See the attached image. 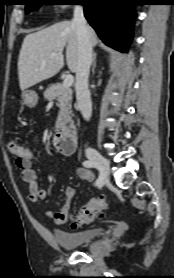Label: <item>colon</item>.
<instances>
[{"mask_svg": "<svg viewBox=\"0 0 174 278\" xmlns=\"http://www.w3.org/2000/svg\"><path fill=\"white\" fill-rule=\"evenodd\" d=\"M9 150L13 155L16 156V158H34L33 150L27 146L10 144ZM106 208L107 203L103 198L90 199L85 205L74 209L72 216V226L76 227L78 225L93 221L94 219L102 216Z\"/></svg>", "mask_w": 174, "mask_h": 278, "instance_id": "5ec220e1", "label": "colon"}]
</instances>
